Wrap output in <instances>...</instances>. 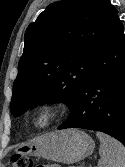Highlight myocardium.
I'll return each instance as SVG.
<instances>
[{"label":"myocardium","mask_w":125,"mask_h":167,"mask_svg":"<svg viewBox=\"0 0 125 167\" xmlns=\"http://www.w3.org/2000/svg\"><path fill=\"white\" fill-rule=\"evenodd\" d=\"M60 107L54 101H45L38 105L30 115L31 125L36 129L51 126L59 117Z\"/></svg>","instance_id":"myocardium-1"}]
</instances>
